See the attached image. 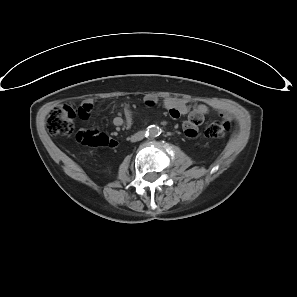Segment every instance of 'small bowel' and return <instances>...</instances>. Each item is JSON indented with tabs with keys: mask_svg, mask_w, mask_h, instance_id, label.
Segmentation results:
<instances>
[{
	"mask_svg": "<svg viewBox=\"0 0 297 297\" xmlns=\"http://www.w3.org/2000/svg\"><path fill=\"white\" fill-rule=\"evenodd\" d=\"M147 103L149 105L154 104L153 99H148ZM164 105L169 110V113L172 117L178 118L180 115L186 114L189 112L190 119L185 122V126L187 127V134L189 136H196V123L197 120L202 119L203 116L208 114L209 108L200 104L194 107L193 110H189L188 102L185 99H177V98H165ZM132 120V112L128 108H124L123 117H115L113 120V124L118 128L123 126L124 124H129Z\"/></svg>",
	"mask_w": 297,
	"mask_h": 297,
	"instance_id": "1",
	"label": "small bowel"
}]
</instances>
